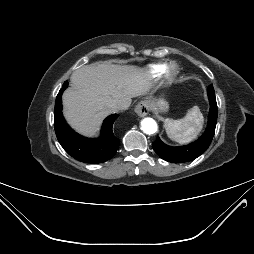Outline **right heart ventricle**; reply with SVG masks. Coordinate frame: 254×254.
<instances>
[{"label":"right heart ventricle","instance_id":"1","mask_svg":"<svg viewBox=\"0 0 254 254\" xmlns=\"http://www.w3.org/2000/svg\"><path fill=\"white\" fill-rule=\"evenodd\" d=\"M167 67L166 63L154 64L150 67L149 73L153 78H160L166 73Z\"/></svg>","mask_w":254,"mask_h":254}]
</instances>
